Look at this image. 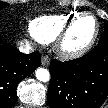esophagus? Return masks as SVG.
Wrapping results in <instances>:
<instances>
[{"instance_id":"esophagus-1","label":"esophagus","mask_w":108,"mask_h":108,"mask_svg":"<svg viewBox=\"0 0 108 108\" xmlns=\"http://www.w3.org/2000/svg\"><path fill=\"white\" fill-rule=\"evenodd\" d=\"M41 63L43 66L48 67L50 64V58L48 55H43L41 58Z\"/></svg>"}]
</instances>
